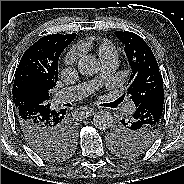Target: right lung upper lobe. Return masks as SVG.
Here are the masks:
<instances>
[{"label":"right lung upper lobe","mask_w":184,"mask_h":184,"mask_svg":"<svg viewBox=\"0 0 184 184\" xmlns=\"http://www.w3.org/2000/svg\"><path fill=\"white\" fill-rule=\"evenodd\" d=\"M76 34H53L40 38L22 56L15 72L13 101L22 104H47L49 91L56 86L58 60Z\"/></svg>","instance_id":"obj_1"}]
</instances>
